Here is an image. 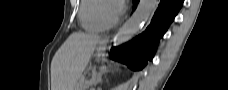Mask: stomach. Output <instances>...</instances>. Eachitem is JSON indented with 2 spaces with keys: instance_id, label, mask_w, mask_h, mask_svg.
<instances>
[{
  "instance_id": "stomach-1",
  "label": "stomach",
  "mask_w": 228,
  "mask_h": 90,
  "mask_svg": "<svg viewBox=\"0 0 228 90\" xmlns=\"http://www.w3.org/2000/svg\"><path fill=\"white\" fill-rule=\"evenodd\" d=\"M103 47H104V43L101 42L99 50L101 51Z\"/></svg>"
}]
</instances>
